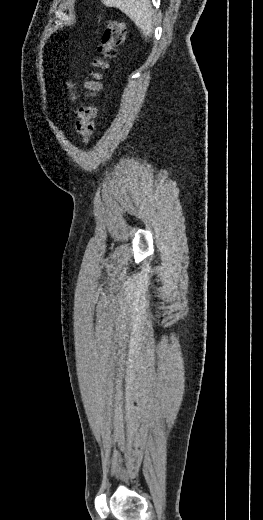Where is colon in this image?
I'll use <instances>...</instances> for the list:
<instances>
[{
	"mask_svg": "<svg viewBox=\"0 0 263 520\" xmlns=\"http://www.w3.org/2000/svg\"><path fill=\"white\" fill-rule=\"evenodd\" d=\"M125 37L126 26L122 21L109 19L105 22L102 40L98 47L99 55L92 61L84 83L87 102L76 110V131L84 143L90 141L95 129L96 109L91 100L100 91L102 72L108 68L109 61L116 57L118 47L124 42Z\"/></svg>",
	"mask_w": 263,
	"mask_h": 520,
	"instance_id": "colon-1",
	"label": "colon"
}]
</instances>
